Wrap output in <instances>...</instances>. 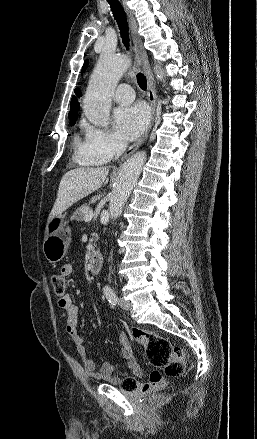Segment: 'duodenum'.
Segmentation results:
<instances>
[{
	"mask_svg": "<svg viewBox=\"0 0 257 439\" xmlns=\"http://www.w3.org/2000/svg\"><path fill=\"white\" fill-rule=\"evenodd\" d=\"M90 271L92 273H98L103 266V256L98 249H94L90 255L89 260Z\"/></svg>",
	"mask_w": 257,
	"mask_h": 439,
	"instance_id": "duodenum-1",
	"label": "duodenum"
}]
</instances>
